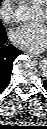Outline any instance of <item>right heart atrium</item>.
<instances>
[{"label": "right heart atrium", "instance_id": "1", "mask_svg": "<svg viewBox=\"0 0 47 129\" xmlns=\"http://www.w3.org/2000/svg\"><path fill=\"white\" fill-rule=\"evenodd\" d=\"M15 0H2L0 3V17L6 23L14 20Z\"/></svg>", "mask_w": 47, "mask_h": 129}]
</instances>
